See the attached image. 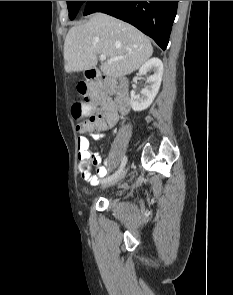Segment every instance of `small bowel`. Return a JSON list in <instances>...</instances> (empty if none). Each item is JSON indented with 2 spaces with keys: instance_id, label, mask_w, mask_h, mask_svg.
Instances as JSON below:
<instances>
[{
  "instance_id": "small-bowel-1",
  "label": "small bowel",
  "mask_w": 233,
  "mask_h": 295,
  "mask_svg": "<svg viewBox=\"0 0 233 295\" xmlns=\"http://www.w3.org/2000/svg\"><path fill=\"white\" fill-rule=\"evenodd\" d=\"M102 108L104 109V117L99 119L92 125H87L78 128L79 131L92 133V137L97 141H105V131L115 126L118 121V105L117 100L111 99L108 94H103L98 99ZM89 139L85 135L78 137V159L80 160L79 171L82 178L90 183L96 185L100 178H103L109 168L108 162L102 163L101 156L98 152H93L89 149ZM98 165L97 175L92 174V165Z\"/></svg>"
}]
</instances>
